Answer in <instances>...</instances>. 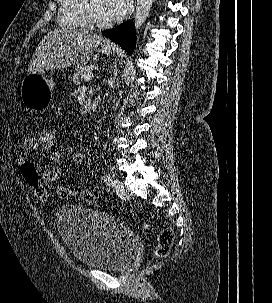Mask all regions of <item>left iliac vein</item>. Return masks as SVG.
Wrapping results in <instances>:
<instances>
[{"label": "left iliac vein", "instance_id": "left-iliac-vein-1", "mask_svg": "<svg viewBox=\"0 0 272 303\" xmlns=\"http://www.w3.org/2000/svg\"><path fill=\"white\" fill-rule=\"evenodd\" d=\"M112 187H113L114 192L117 194V196H119L121 198L129 197L128 190L124 187V185L118 179H114L112 181Z\"/></svg>", "mask_w": 272, "mask_h": 303}]
</instances>
